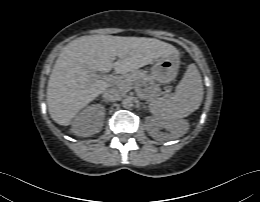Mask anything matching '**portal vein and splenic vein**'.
<instances>
[{
  "instance_id": "obj_1",
  "label": "portal vein and splenic vein",
  "mask_w": 260,
  "mask_h": 202,
  "mask_svg": "<svg viewBox=\"0 0 260 202\" xmlns=\"http://www.w3.org/2000/svg\"><path fill=\"white\" fill-rule=\"evenodd\" d=\"M91 75L94 78L100 77V75L96 74L95 72H93ZM102 77L104 79H106L107 81H111V82H114V83H116L118 81V78L115 77V76H112V75H102ZM141 96H142V98H148V96L146 94H141Z\"/></svg>"
}]
</instances>
